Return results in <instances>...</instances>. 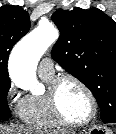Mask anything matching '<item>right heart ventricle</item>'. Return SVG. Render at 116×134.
I'll return each instance as SVG.
<instances>
[{"instance_id":"1","label":"right heart ventricle","mask_w":116,"mask_h":134,"mask_svg":"<svg viewBox=\"0 0 116 134\" xmlns=\"http://www.w3.org/2000/svg\"><path fill=\"white\" fill-rule=\"evenodd\" d=\"M40 77L46 82H50L54 78L53 74H40ZM20 116L25 122L39 128L51 129L60 124L50 111L46 94L27 96Z\"/></svg>"}]
</instances>
